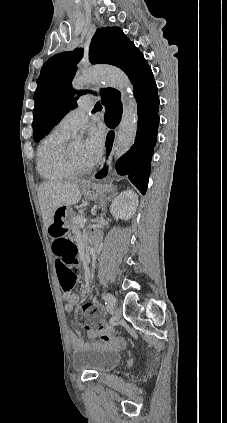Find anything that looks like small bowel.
Instances as JSON below:
<instances>
[{"mask_svg": "<svg viewBox=\"0 0 227 423\" xmlns=\"http://www.w3.org/2000/svg\"><path fill=\"white\" fill-rule=\"evenodd\" d=\"M54 225L55 224H53L50 227V230ZM63 299L65 301V311L67 313H72L74 307L79 302L78 295L73 294V293H71V294L64 293ZM88 335L92 338H100L103 342L112 341L111 337L106 332H104L103 330H91V331L88 332ZM70 338H71V341H72L73 348L75 350H81V349H84L86 347V344L83 342L79 331L70 332Z\"/></svg>", "mask_w": 227, "mask_h": 423, "instance_id": "obj_1", "label": "small bowel"}]
</instances>
